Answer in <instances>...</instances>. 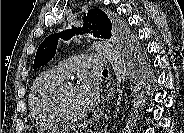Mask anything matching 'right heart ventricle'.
Masks as SVG:
<instances>
[{"label":"right heart ventricle","mask_w":184,"mask_h":133,"mask_svg":"<svg viewBox=\"0 0 184 133\" xmlns=\"http://www.w3.org/2000/svg\"><path fill=\"white\" fill-rule=\"evenodd\" d=\"M55 68L42 72L32 85L30 109L35 120L45 126H56L60 122L52 105L55 89L64 81Z\"/></svg>","instance_id":"obj_1"}]
</instances>
